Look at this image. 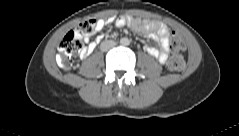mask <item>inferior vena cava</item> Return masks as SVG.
Masks as SVG:
<instances>
[{
    "mask_svg": "<svg viewBox=\"0 0 239 136\" xmlns=\"http://www.w3.org/2000/svg\"><path fill=\"white\" fill-rule=\"evenodd\" d=\"M116 45V43L112 40L110 41H104L102 44H101V50L102 51H107L108 49L110 48H113L114 46Z\"/></svg>",
    "mask_w": 239,
    "mask_h": 136,
    "instance_id": "inferior-vena-cava-1",
    "label": "inferior vena cava"
}]
</instances>
